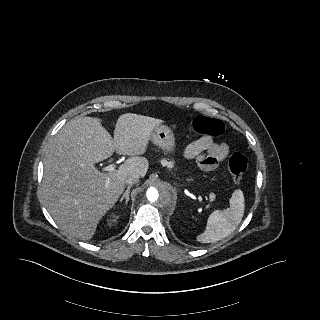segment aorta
<instances>
[{
    "label": "aorta",
    "mask_w": 320,
    "mask_h": 320,
    "mask_svg": "<svg viewBox=\"0 0 320 320\" xmlns=\"http://www.w3.org/2000/svg\"><path fill=\"white\" fill-rule=\"evenodd\" d=\"M144 199L153 211L162 213L165 205L170 204L173 199L172 188L166 183L156 181L147 189Z\"/></svg>",
    "instance_id": "obj_1"
}]
</instances>
